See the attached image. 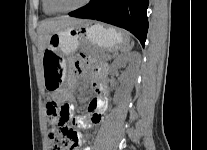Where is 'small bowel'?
<instances>
[{
	"mask_svg": "<svg viewBox=\"0 0 207 150\" xmlns=\"http://www.w3.org/2000/svg\"><path fill=\"white\" fill-rule=\"evenodd\" d=\"M88 64L91 66V69L94 72L93 86L99 94V96L89 104L87 115L77 116L73 118V124L80 129H91L94 125L101 121L107 106V96L109 93L108 86L105 82V67L102 64L96 62H89ZM76 73L79 75L82 74V67L79 66V68L76 69ZM75 84V78L70 77L69 86L73 88ZM62 100H67L68 102L67 108L71 119V114L73 110L72 101L64 95L60 97V101ZM81 142L82 136L80 133H78V143L80 144ZM82 150H92V145H82Z\"/></svg>",
	"mask_w": 207,
	"mask_h": 150,
	"instance_id": "obj_1",
	"label": "small bowel"
}]
</instances>
